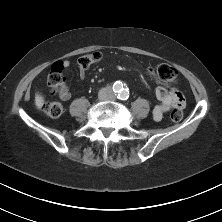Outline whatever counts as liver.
Wrapping results in <instances>:
<instances>
[{
	"label": "liver",
	"mask_w": 222,
	"mask_h": 222,
	"mask_svg": "<svg viewBox=\"0 0 222 222\" xmlns=\"http://www.w3.org/2000/svg\"><path fill=\"white\" fill-rule=\"evenodd\" d=\"M44 98L42 95H40L39 93H36L35 95V105L38 109H41L43 104H44Z\"/></svg>",
	"instance_id": "liver-1"
}]
</instances>
